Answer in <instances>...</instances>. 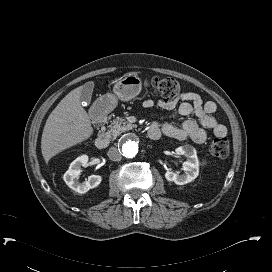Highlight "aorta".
<instances>
[{"mask_svg": "<svg viewBox=\"0 0 272 272\" xmlns=\"http://www.w3.org/2000/svg\"><path fill=\"white\" fill-rule=\"evenodd\" d=\"M120 147L126 158H134L141 151L142 141L137 134L130 133L121 141Z\"/></svg>", "mask_w": 272, "mask_h": 272, "instance_id": "aorta-1", "label": "aorta"}]
</instances>
